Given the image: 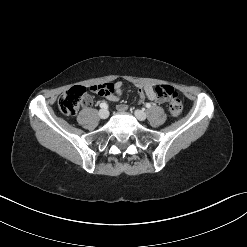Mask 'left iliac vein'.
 Wrapping results in <instances>:
<instances>
[{
  "label": "left iliac vein",
  "instance_id": "left-iliac-vein-1",
  "mask_svg": "<svg viewBox=\"0 0 247 247\" xmlns=\"http://www.w3.org/2000/svg\"><path fill=\"white\" fill-rule=\"evenodd\" d=\"M134 114L136 118L140 121H144L147 117L146 113L142 110H135Z\"/></svg>",
  "mask_w": 247,
  "mask_h": 247
}]
</instances>
